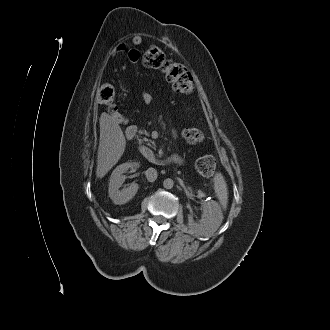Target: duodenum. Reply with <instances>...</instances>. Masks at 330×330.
Here are the masks:
<instances>
[{
  "label": "duodenum",
  "instance_id": "1",
  "mask_svg": "<svg viewBox=\"0 0 330 330\" xmlns=\"http://www.w3.org/2000/svg\"><path fill=\"white\" fill-rule=\"evenodd\" d=\"M135 132H136L135 128H128L126 130L127 138L133 139L135 136ZM140 152L145 157V159L148 160L149 162H159V160L156 158L155 154L148 147L141 146Z\"/></svg>",
  "mask_w": 330,
  "mask_h": 330
}]
</instances>
